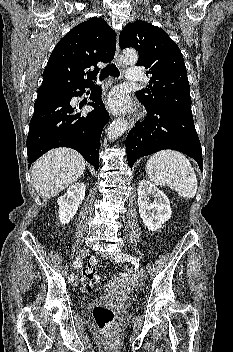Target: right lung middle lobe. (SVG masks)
Instances as JSON below:
<instances>
[{
    "instance_id": "obj_1",
    "label": "right lung middle lobe",
    "mask_w": 233,
    "mask_h": 352,
    "mask_svg": "<svg viewBox=\"0 0 233 352\" xmlns=\"http://www.w3.org/2000/svg\"><path fill=\"white\" fill-rule=\"evenodd\" d=\"M72 90L66 87H42L38 89L37 99L67 97Z\"/></svg>"
}]
</instances>
